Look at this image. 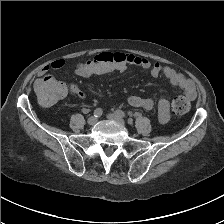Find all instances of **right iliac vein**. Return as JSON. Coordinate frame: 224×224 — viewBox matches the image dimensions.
<instances>
[{
  "label": "right iliac vein",
  "mask_w": 224,
  "mask_h": 224,
  "mask_svg": "<svg viewBox=\"0 0 224 224\" xmlns=\"http://www.w3.org/2000/svg\"><path fill=\"white\" fill-rule=\"evenodd\" d=\"M96 122H97V118L94 117V116H91V117L88 119V124H89V125H94Z\"/></svg>",
  "instance_id": "obj_1"
}]
</instances>
